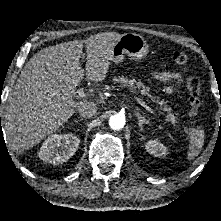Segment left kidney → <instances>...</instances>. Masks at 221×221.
I'll use <instances>...</instances> for the list:
<instances>
[{"mask_svg": "<svg viewBox=\"0 0 221 221\" xmlns=\"http://www.w3.org/2000/svg\"><path fill=\"white\" fill-rule=\"evenodd\" d=\"M145 148L150 154L156 157H165L168 154L167 148L157 140H149Z\"/></svg>", "mask_w": 221, "mask_h": 221, "instance_id": "left-kidney-1", "label": "left kidney"}]
</instances>
